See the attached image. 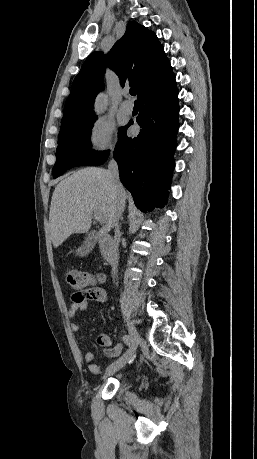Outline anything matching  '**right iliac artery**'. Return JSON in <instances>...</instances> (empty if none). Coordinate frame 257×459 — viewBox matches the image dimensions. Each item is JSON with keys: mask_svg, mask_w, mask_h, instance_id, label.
I'll return each instance as SVG.
<instances>
[{"mask_svg": "<svg viewBox=\"0 0 257 459\" xmlns=\"http://www.w3.org/2000/svg\"><path fill=\"white\" fill-rule=\"evenodd\" d=\"M122 340L127 346H129V344H130V336L129 335H123Z\"/></svg>", "mask_w": 257, "mask_h": 459, "instance_id": "1", "label": "right iliac artery"}]
</instances>
